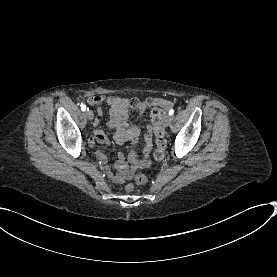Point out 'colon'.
<instances>
[{
	"label": "colon",
	"instance_id": "obj_1",
	"mask_svg": "<svg viewBox=\"0 0 277 277\" xmlns=\"http://www.w3.org/2000/svg\"><path fill=\"white\" fill-rule=\"evenodd\" d=\"M129 103L133 108H136L142 104V102L136 98H131L129 100ZM144 103L148 107L155 106V102L151 100H147ZM151 119L153 123L154 132L156 135V144H157V149L155 150L153 157L156 161H161L164 156V149L166 144V140L163 132L164 110L161 107H154L151 113ZM147 181H148V177L144 173H140L135 177V182L137 184H145L147 183ZM132 187L133 185L130 184L128 186V189H132Z\"/></svg>",
	"mask_w": 277,
	"mask_h": 277
}]
</instances>
